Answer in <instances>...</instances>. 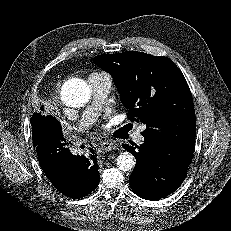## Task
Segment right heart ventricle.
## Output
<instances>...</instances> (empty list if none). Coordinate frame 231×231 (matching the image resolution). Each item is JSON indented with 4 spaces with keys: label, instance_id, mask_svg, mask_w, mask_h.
Instances as JSON below:
<instances>
[{
    "label": "right heart ventricle",
    "instance_id": "e07e8e85",
    "mask_svg": "<svg viewBox=\"0 0 231 231\" xmlns=\"http://www.w3.org/2000/svg\"><path fill=\"white\" fill-rule=\"evenodd\" d=\"M91 76H106L109 77V75L105 72H94L93 74H91Z\"/></svg>",
    "mask_w": 231,
    "mask_h": 231
}]
</instances>
